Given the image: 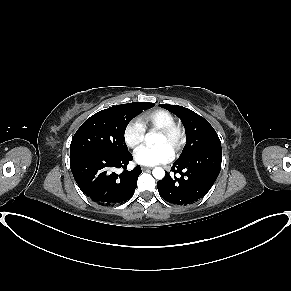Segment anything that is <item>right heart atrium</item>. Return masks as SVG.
Listing matches in <instances>:
<instances>
[{"instance_id":"1","label":"right heart atrium","mask_w":291,"mask_h":291,"mask_svg":"<svg viewBox=\"0 0 291 291\" xmlns=\"http://www.w3.org/2000/svg\"><path fill=\"white\" fill-rule=\"evenodd\" d=\"M145 138V128L138 119L129 121L123 130V140L127 147L134 149L138 147Z\"/></svg>"}]
</instances>
